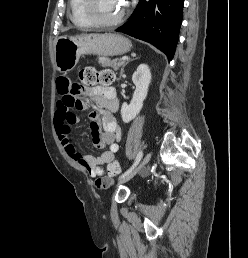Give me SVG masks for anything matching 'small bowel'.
Wrapping results in <instances>:
<instances>
[{
	"instance_id": "small-bowel-1",
	"label": "small bowel",
	"mask_w": 248,
	"mask_h": 258,
	"mask_svg": "<svg viewBox=\"0 0 248 258\" xmlns=\"http://www.w3.org/2000/svg\"><path fill=\"white\" fill-rule=\"evenodd\" d=\"M71 82L68 78H60L57 81L59 94L56 103L54 125L66 153L79 165L86 168L91 177H101L99 179V190H110L113 179L102 177L106 173L107 167L115 161V155L119 150V142L122 132L115 117L119 101L115 90L109 85H97L86 89L83 95L90 98L96 110L90 112V129L92 132V142L94 147L102 149L108 146L100 156L84 154L77 150L72 142V126L79 122V117L74 113V109H87V102L72 94ZM102 128V132L100 131Z\"/></svg>"
}]
</instances>
